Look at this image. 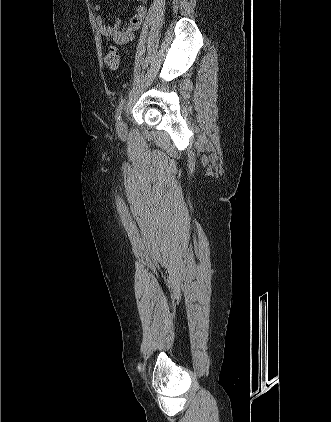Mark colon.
I'll return each instance as SVG.
<instances>
[{
	"label": "colon",
	"instance_id": "colon-1",
	"mask_svg": "<svg viewBox=\"0 0 331 422\" xmlns=\"http://www.w3.org/2000/svg\"><path fill=\"white\" fill-rule=\"evenodd\" d=\"M106 63L111 70L118 69L120 63V54L116 47L111 46L108 48V52L106 54Z\"/></svg>",
	"mask_w": 331,
	"mask_h": 422
}]
</instances>
